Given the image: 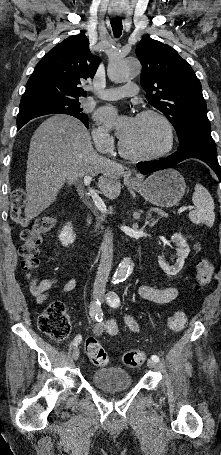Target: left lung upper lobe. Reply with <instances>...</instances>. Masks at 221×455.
I'll return each mask as SVG.
<instances>
[{"label": "left lung upper lobe", "instance_id": "1", "mask_svg": "<svg viewBox=\"0 0 221 455\" xmlns=\"http://www.w3.org/2000/svg\"><path fill=\"white\" fill-rule=\"evenodd\" d=\"M136 55L146 98L172 123L179 145L193 137L212 138L202 87L188 62L169 45L148 37L138 43Z\"/></svg>", "mask_w": 221, "mask_h": 455}]
</instances>
